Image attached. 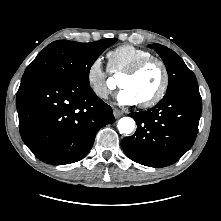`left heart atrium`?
Segmentation results:
<instances>
[{
  "label": "left heart atrium",
  "instance_id": "left-heart-atrium-1",
  "mask_svg": "<svg viewBox=\"0 0 221 221\" xmlns=\"http://www.w3.org/2000/svg\"><path fill=\"white\" fill-rule=\"evenodd\" d=\"M117 99L119 103L124 104V105H134L138 103L133 93L130 90L125 89V88H122L120 90Z\"/></svg>",
  "mask_w": 221,
  "mask_h": 221
}]
</instances>
